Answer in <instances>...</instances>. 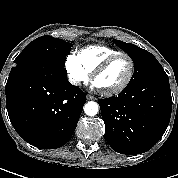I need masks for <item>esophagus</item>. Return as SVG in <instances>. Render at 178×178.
Wrapping results in <instances>:
<instances>
[{"mask_svg":"<svg viewBox=\"0 0 178 178\" xmlns=\"http://www.w3.org/2000/svg\"><path fill=\"white\" fill-rule=\"evenodd\" d=\"M86 99L87 100H96V98L92 95H87Z\"/></svg>","mask_w":178,"mask_h":178,"instance_id":"34e87169","label":"esophagus"}]
</instances>
